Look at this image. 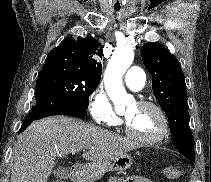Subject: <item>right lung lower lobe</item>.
<instances>
[{
  "label": "right lung lower lobe",
  "mask_w": 211,
  "mask_h": 182,
  "mask_svg": "<svg viewBox=\"0 0 211 182\" xmlns=\"http://www.w3.org/2000/svg\"><path fill=\"white\" fill-rule=\"evenodd\" d=\"M36 105L24 119L19 132L24 131L34 120L42 119L52 115H69L81 117L86 110L76 107L68 99L44 89H35Z\"/></svg>",
  "instance_id": "right-lung-lower-lobe-1"
}]
</instances>
